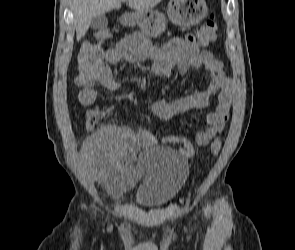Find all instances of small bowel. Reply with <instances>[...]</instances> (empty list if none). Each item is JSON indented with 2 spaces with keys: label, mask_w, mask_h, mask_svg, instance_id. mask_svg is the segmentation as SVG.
<instances>
[{
  "label": "small bowel",
  "mask_w": 295,
  "mask_h": 250,
  "mask_svg": "<svg viewBox=\"0 0 295 250\" xmlns=\"http://www.w3.org/2000/svg\"><path fill=\"white\" fill-rule=\"evenodd\" d=\"M144 60L151 61L150 71L157 76L169 77L174 68L181 74L190 69H205L210 74V85L206 90L180 99L156 100L150 105V112L158 119L168 120L208 105L210 97L217 94L215 110L206 116L208 128L196 133L195 142L198 146L205 147L210 141L220 139L218 135L223 132L230 117V81L224 73L222 61L203 49V44L192 34L174 37L164 46L154 47L142 34L134 33L110 49L97 48L90 69L80 68L75 80L79 88V102L84 106L94 104L98 100L97 85L111 91L121 88L120 82L113 77L109 64L121 61L139 63ZM143 84V78L136 82L137 88H142ZM157 142L149 130L134 124L130 128L104 127L83 144V171L90 180L101 183L110 192L122 194L143 177L139 165L124 168L122 160L126 157L134 158L141 146L153 147ZM163 142L179 145L187 156L194 152L193 144L183 137L167 136Z\"/></svg>",
  "instance_id": "obj_1"
}]
</instances>
